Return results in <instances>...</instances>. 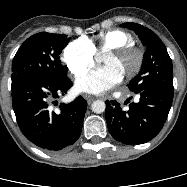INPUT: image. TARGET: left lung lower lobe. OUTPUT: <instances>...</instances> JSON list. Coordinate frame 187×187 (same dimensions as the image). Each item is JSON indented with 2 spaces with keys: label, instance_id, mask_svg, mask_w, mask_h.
<instances>
[{
  "label": "left lung lower lobe",
  "instance_id": "left-lung-lower-lobe-1",
  "mask_svg": "<svg viewBox=\"0 0 187 187\" xmlns=\"http://www.w3.org/2000/svg\"><path fill=\"white\" fill-rule=\"evenodd\" d=\"M137 103L123 110L107 101L105 118L112 137L123 144L138 145L153 139L162 129L171 108L173 92L149 89L136 92Z\"/></svg>",
  "mask_w": 187,
  "mask_h": 187
}]
</instances>
